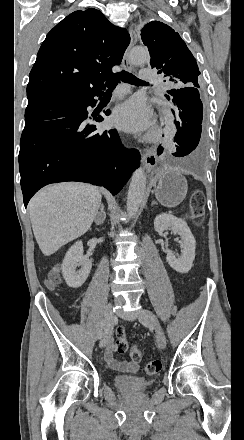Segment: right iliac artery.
Segmentation results:
<instances>
[{"label": "right iliac artery", "instance_id": "1", "mask_svg": "<svg viewBox=\"0 0 244 440\" xmlns=\"http://www.w3.org/2000/svg\"><path fill=\"white\" fill-rule=\"evenodd\" d=\"M105 325H106V320H103L101 323V329L99 330V332L97 334L98 339L102 338V329L105 327Z\"/></svg>", "mask_w": 244, "mask_h": 440}]
</instances>
